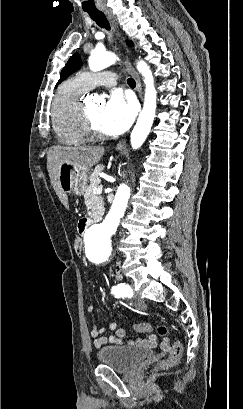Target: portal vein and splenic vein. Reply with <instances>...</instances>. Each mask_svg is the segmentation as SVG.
I'll use <instances>...</instances> for the list:
<instances>
[{
	"mask_svg": "<svg viewBox=\"0 0 243 409\" xmlns=\"http://www.w3.org/2000/svg\"><path fill=\"white\" fill-rule=\"evenodd\" d=\"M94 194H101L102 193V186L95 187L93 190Z\"/></svg>",
	"mask_w": 243,
	"mask_h": 409,
	"instance_id": "portal-vein-and-splenic-vein-1",
	"label": "portal vein and splenic vein"
}]
</instances>
